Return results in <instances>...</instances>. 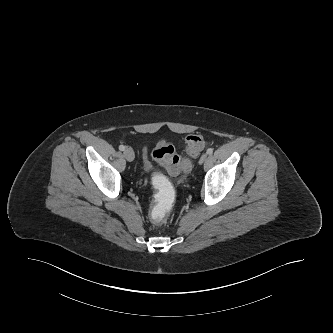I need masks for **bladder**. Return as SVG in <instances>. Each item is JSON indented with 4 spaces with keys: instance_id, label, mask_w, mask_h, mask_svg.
I'll return each mask as SVG.
<instances>
[{
    "instance_id": "bladder-1",
    "label": "bladder",
    "mask_w": 333,
    "mask_h": 333,
    "mask_svg": "<svg viewBox=\"0 0 333 333\" xmlns=\"http://www.w3.org/2000/svg\"><path fill=\"white\" fill-rule=\"evenodd\" d=\"M143 168L146 173L152 172V165L146 155L143 156Z\"/></svg>"
}]
</instances>
